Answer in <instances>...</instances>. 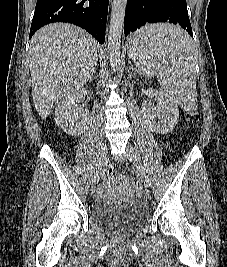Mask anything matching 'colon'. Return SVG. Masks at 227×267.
<instances>
[{
    "mask_svg": "<svg viewBox=\"0 0 227 267\" xmlns=\"http://www.w3.org/2000/svg\"><path fill=\"white\" fill-rule=\"evenodd\" d=\"M185 117H188V118H186V120L184 121V124L185 125H190V127H188V130H191V127H193V121L189 120V118H195L196 114L195 113H188V114H185ZM107 175L108 176H112L113 175V171L112 170H108L107 171ZM125 183H127L131 187H135V185H136L135 180L133 178H131V177L126 178L125 179Z\"/></svg>",
    "mask_w": 227,
    "mask_h": 267,
    "instance_id": "5ec220e1",
    "label": "colon"
}]
</instances>
